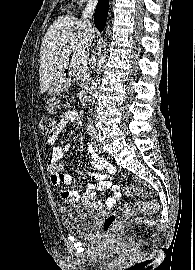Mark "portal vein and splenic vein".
Listing matches in <instances>:
<instances>
[{"mask_svg": "<svg viewBox=\"0 0 195 270\" xmlns=\"http://www.w3.org/2000/svg\"><path fill=\"white\" fill-rule=\"evenodd\" d=\"M73 55L77 60L80 61L85 60L87 58L85 50L76 51Z\"/></svg>", "mask_w": 195, "mask_h": 270, "instance_id": "portal-vein-and-splenic-vein-1", "label": "portal vein and splenic vein"}]
</instances>
